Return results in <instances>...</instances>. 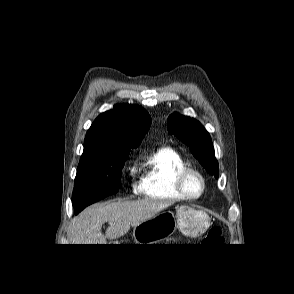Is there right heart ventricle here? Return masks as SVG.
Instances as JSON below:
<instances>
[{
    "label": "right heart ventricle",
    "instance_id": "obj_1",
    "mask_svg": "<svg viewBox=\"0 0 294 294\" xmlns=\"http://www.w3.org/2000/svg\"><path fill=\"white\" fill-rule=\"evenodd\" d=\"M183 157L171 147H160L140 162L137 193L155 200H180L175 187V173L185 167Z\"/></svg>",
    "mask_w": 294,
    "mask_h": 294
}]
</instances>
